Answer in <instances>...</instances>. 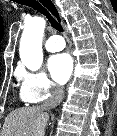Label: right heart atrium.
Listing matches in <instances>:
<instances>
[{"instance_id": "obj_1", "label": "right heart atrium", "mask_w": 117, "mask_h": 136, "mask_svg": "<svg viewBox=\"0 0 117 136\" xmlns=\"http://www.w3.org/2000/svg\"><path fill=\"white\" fill-rule=\"evenodd\" d=\"M18 76L22 82L21 95L27 103H40L61 93L43 71H20Z\"/></svg>"}]
</instances>
